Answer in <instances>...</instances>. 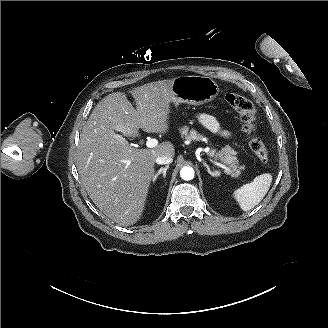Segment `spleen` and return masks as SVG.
I'll list each match as a JSON object with an SVG mask.
<instances>
[{"label": "spleen", "mask_w": 328, "mask_h": 328, "mask_svg": "<svg viewBox=\"0 0 328 328\" xmlns=\"http://www.w3.org/2000/svg\"><path fill=\"white\" fill-rule=\"evenodd\" d=\"M272 182V175L265 173L255 177L253 182L234 189L232 197L239 208L247 212L257 206L267 194Z\"/></svg>", "instance_id": "obj_1"}]
</instances>
